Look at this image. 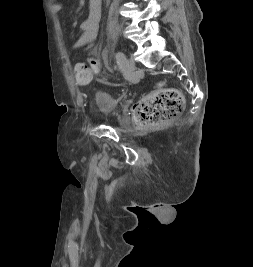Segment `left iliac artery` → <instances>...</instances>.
<instances>
[{
  "label": "left iliac artery",
  "mask_w": 253,
  "mask_h": 267,
  "mask_svg": "<svg viewBox=\"0 0 253 267\" xmlns=\"http://www.w3.org/2000/svg\"><path fill=\"white\" fill-rule=\"evenodd\" d=\"M116 61H117V64H118L119 68L124 71L125 70V66H126V57H125V55L118 56L116 54Z\"/></svg>",
  "instance_id": "1"
}]
</instances>
